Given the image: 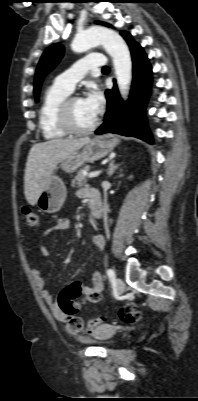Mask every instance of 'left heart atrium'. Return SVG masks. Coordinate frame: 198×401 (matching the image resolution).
<instances>
[{
  "mask_svg": "<svg viewBox=\"0 0 198 401\" xmlns=\"http://www.w3.org/2000/svg\"><path fill=\"white\" fill-rule=\"evenodd\" d=\"M83 100L90 111L96 116L100 113L104 105L103 93L95 85L88 88V92Z\"/></svg>",
  "mask_w": 198,
  "mask_h": 401,
  "instance_id": "obj_1",
  "label": "left heart atrium"
}]
</instances>
